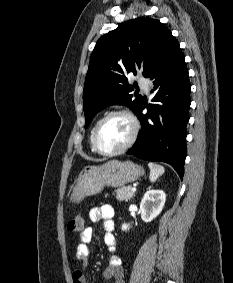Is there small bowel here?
Returning a JSON list of instances; mask_svg holds the SVG:
<instances>
[{
  "mask_svg": "<svg viewBox=\"0 0 233 283\" xmlns=\"http://www.w3.org/2000/svg\"><path fill=\"white\" fill-rule=\"evenodd\" d=\"M114 209L111 205L105 204L100 207H95L89 212V220L93 223L101 221L102 227L105 231L104 243L111 253L109 264L103 270V277L105 279L113 280V283H125L123 280V269L121 265V259L115 254L116 251V239L113 234L114 230ZM93 237V229L87 227L80 235V240L77 245L76 259L82 265L83 268L87 266L88 256L91 248L90 243ZM73 283H85V277L82 271H75L72 276Z\"/></svg>",
  "mask_w": 233,
  "mask_h": 283,
  "instance_id": "1",
  "label": "small bowel"
}]
</instances>
